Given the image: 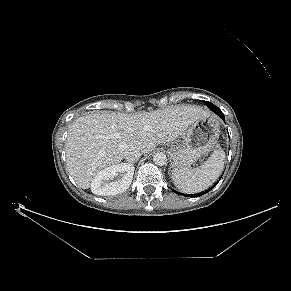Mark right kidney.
Listing matches in <instances>:
<instances>
[{"mask_svg":"<svg viewBox=\"0 0 291 291\" xmlns=\"http://www.w3.org/2000/svg\"><path fill=\"white\" fill-rule=\"evenodd\" d=\"M134 167L127 163L110 166L101 171L91 183V191L96 195H116L124 192L131 184ZM116 178L114 181H110Z\"/></svg>","mask_w":291,"mask_h":291,"instance_id":"1","label":"right kidney"}]
</instances>
